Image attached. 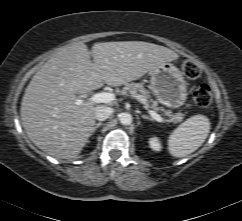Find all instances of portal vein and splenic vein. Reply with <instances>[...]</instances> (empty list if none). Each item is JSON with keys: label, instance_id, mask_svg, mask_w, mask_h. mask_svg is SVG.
Segmentation results:
<instances>
[{"label": "portal vein and splenic vein", "instance_id": "portal-vein-and-splenic-vein-1", "mask_svg": "<svg viewBox=\"0 0 242 221\" xmlns=\"http://www.w3.org/2000/svg\"><path fill=\"white\" fill-rule=\"evenodd\" d=\"M138 98L144 101V99H142L141 96H138ZM113 100H115V95L109 92L96 93L92 95L90 98H88V101L92 103H109V102H112ZM79 101H82V100H79ZM148 112L150 116L153 119H155L157 122H160V123L164 122L163 118L155 111L149 110Z\"/></svg>", "mask_w": 242, "mask_h": 221}]
</instances>
